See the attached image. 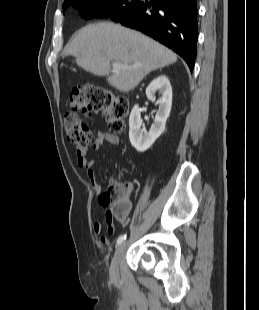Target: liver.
Instances as JSON below:
<instances>
[{
    "instance_id": "6515ba94",
    "label": "liver",
    "mask_w": 259,
    "mask_h": 310,
    "mask_svg": "<svg viewBox=\"0 0 259 310\" xmlns=\"http://www.w3.org/2000/svg\"><path fill=\"white\" fill-rule=\"evenodd\" d=\"M74 56L87 72L107 76L108 83L122 92L134 89L150 72L177 61V56L157 41L121 25L96 23L80 29L63 51ZM129 68L110 75V62Z\"/></svg>"
}]
</instances>
